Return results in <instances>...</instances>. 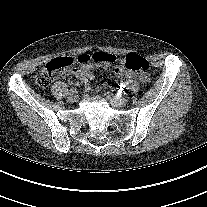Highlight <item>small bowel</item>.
<instances>
[{"label":"small bowel","instance_id":"1","mask_svg":"<svg viewBox=\"0 0 207 207\" xmlns=\"http://www.w3.org/2000/svg\"><path fill=\"white\" fill-rule=\"evenodd\" d=\"M79 61L81 63V67L78 69H75L72 73L83 82L86 89H89L90 88V81L93 78V72H92L93 64L91 61L86 59V54L81 55L79 57ZM103 67H108V65L104 64ZM115 72L118 77H127V78L136 77L135 73L125 69V67L122 65L116 67ZM139 78L143 82L148 80L147 75H140ZM132 87H134V86H132Z\"/></svg>","mask_w":207,"mask_h":207}]
</instances>
